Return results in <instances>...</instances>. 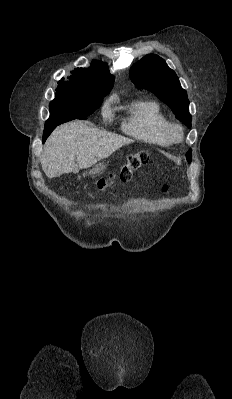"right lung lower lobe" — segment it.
Returning <instances> with one entry per match:
<instances>
[{
    "mask_svg": "<svg viewBox=\"0 0 232 399\" xmlns=\"http://www.w3.org/2000/svg\"><path fill=\"white\" fill-rule=\"evenodd\" d=\"M89 116H84L80 118L72 117V116H67V115H54L50 114V118L47 120L44 128V133H43V143L45 140L48 138V136L51 134V132L60 124L74 120V119H87Z\"/></svg>",
    "mask_w": 232,
    "mask_h": 399,
    "instance_id": "obj_1",
    "label": "right lung lower lobe"
}]
</instances>
